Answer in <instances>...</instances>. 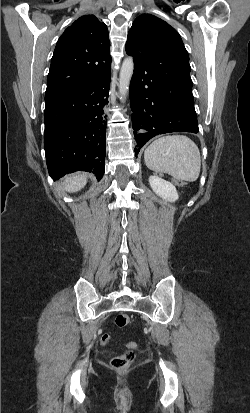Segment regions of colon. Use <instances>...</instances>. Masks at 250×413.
I'll list each match as a JSON object with an SVG mask.
<instances>
[{"label": "colon", "mask_w": 250, "mask_h": 413, "mask_svg": "<svg viewBox=\"0 0 250 413\" xmlns=\"http://www.w3.org/2000/svg\"><path fill=\"white\" fill-rule=\"evenodd\" d=\"M152 175L154 177H157L159 180L171 181V185L173 187H184L187 184V181L184 178H173L172 176L167 177L166 173L164 171H161L159 168H154L152 170ZM130 322L131 318L126 314H119L115 319V324L118 327H125L129 325ZM110 341V336L103 335L100 339V344L105 347L107 344L110 343ZM126 348L127 350L123 354L114 357L110 362L111 367L116 371H127L135 357V350H137L138 345L136 342L130 341L126 343Z\"/></svg>", "instance_id": "1"}]
</instances>
